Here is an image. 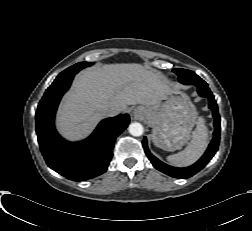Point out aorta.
Here are the masks:
<instances>
[{"label":"aorta","instance_id":"1","mask_svg":"<svg viewBox=\"0 0 252 231\" xmlns=\"http://www.w3.org/2000/svg\"><path fill=\"white\" fill-rule=\"evenodd\" d=\"M128 130L129 133L135 137L141 136L144 132L142 124L138 122L131 123L128 127Z\"/></svg>","mask_w":252,"mask_h":231}]
</instances>
